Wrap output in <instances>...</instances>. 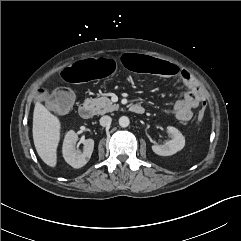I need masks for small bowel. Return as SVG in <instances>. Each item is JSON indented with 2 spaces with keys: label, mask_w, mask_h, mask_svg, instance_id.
Listing matches in <instances>:
<instances>
[{
  "label": "small bowel",
  "mask_w": 241,
  "mask_h": 241,
  "mask_svg": "<svg viewBox=\"0 0 241 241\" xmlns=\"http://www.w3.org/2000/svg\"><path fill=\"white\" fill-rule=\"evenodd\" d=\"M178 77L189 88V91L180 99L175 102L174 110L175 117L180 122H188L192 118V109L199 106L200 103H204L205 91L200 86L197 79L187 70L179 69ZM170 78V77H167Z\"/></svg>",
  "instance_id": "c3829d8e"
}]
</instances>
